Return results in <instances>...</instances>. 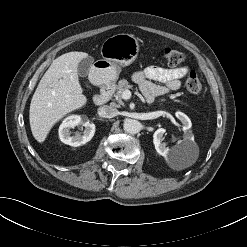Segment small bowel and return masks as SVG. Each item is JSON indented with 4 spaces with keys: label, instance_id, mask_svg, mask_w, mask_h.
I'll return each mask as SVG.
<instances>
[{
    "label": "small bowel",
    "instance_id": "obj_1",
    "mask_svg": "<svg viewBox=\"0 0 247 247\" xmlns=\"http://www.w3.org/2000/svg\"><path fill=\"white\" fill-rule=\"evenodd\" d=\"M187 72V67L163 68L149 66L136 72L133 75V80L139 85L145 99L152 102L157 96L177 90L181 85V79L186 76Z\"/></svg>",
    "mask_w": 247,
    "mask_h": 247
}]
</instances>
